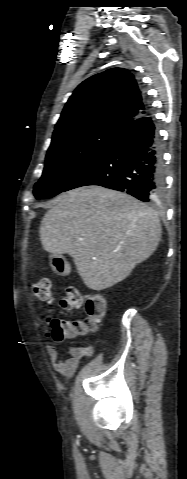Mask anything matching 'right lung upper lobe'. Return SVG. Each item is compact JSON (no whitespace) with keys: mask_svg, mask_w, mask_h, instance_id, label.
<instances>
[{"mask_svg":"<svg viewBox=\"0 0 187 479\" xmlns=\"http://www.w3.org/2000/svg\"><path fill=\"white\" fill-rule=\"evenodd\" d=\"M146 113L148 106L133 74L123 68H112L88 78L76 88L62 111L53 137L97 124L124 130Z\"/></svg>","mask_w":187,"mask_h":479,"instance_id":"right-lung-upper-lobe-1","label":"right lung upper lobe"}]
</instances>
